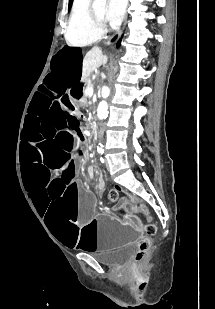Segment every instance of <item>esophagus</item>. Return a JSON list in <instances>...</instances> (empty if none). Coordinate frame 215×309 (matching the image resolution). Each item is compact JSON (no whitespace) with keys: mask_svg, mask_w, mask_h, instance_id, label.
Listing matches in <instances>:
<instances>
[{"mask_svg":"<svg viewBox=\"0 0 215 309\" xmlns=\"http://www.w3.org/2000/svg\"><path fill=\"white\" fill-rule=\"evenodd\" d=\"M121 36V30L118 29L114 35L107 41L106 45H114Z\"/></svg>","mask_w":215,"mask_h":309,"instance_id":"34e87169","label":"esophagus"}]
</instances>
